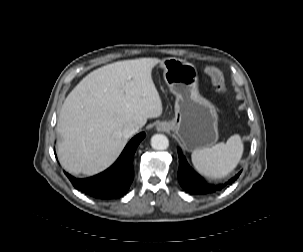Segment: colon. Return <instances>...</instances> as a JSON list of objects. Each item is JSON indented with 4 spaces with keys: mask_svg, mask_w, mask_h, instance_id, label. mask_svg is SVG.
<instances>
[{
    "mask_svg": "<svg viewBox=\"0 0 303 252\" xmlns=\"http://www.w3.org/2000/svg\"><path fill=\"white\" fill-rule=\"evenodd\" d=\"M204 72L210 77L216 91L221 95L226 94L227 87L221 71L213 66H206Z\"/></svg>",
    "mask_w": 303,
    "mask_h": 252,
    "instance_id": "5ec220e1",
    "label": "colon"
}]
</instances>
